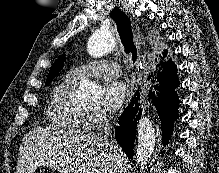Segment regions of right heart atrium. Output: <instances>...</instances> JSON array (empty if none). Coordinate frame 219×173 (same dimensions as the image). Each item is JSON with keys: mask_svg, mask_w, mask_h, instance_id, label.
Wrapping results in <instances>:
<instances>
[{"mask_svg": "<svg viewBox=\"0 0 219 173\" xmlns=\"http://www.w3.org/2000/svg\"><path fill=\"white\" fill-rule=\"evenodd\" d=\"M109 119V115L103 110L92 111L88 114V126L97 128Z\"/></svg>", "mask_w": 219, "mask_h": 173, "instance_id": "d8ad5b80", "label": "right heart atrium"}]
</instances>
